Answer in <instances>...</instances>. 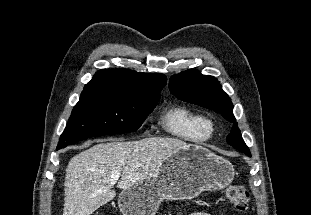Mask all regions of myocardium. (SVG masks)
<instances>
[{
    "instance_id": "f54148a6",
    "label": "myocardium",
    "mask_w": 311,
    "mask_h": 215,
    "mask_svg": "<svg viewBox=\"0 0 311 215\" xmlns=\"http://www.w3.org/2000/svg\"><path fill=\"white\" fill-rule=\"evenodd\" d=\"M208 124H209L210 128L212 129V127H213L212 121L208 120Z\"/></svg>"
}]
</instances>
